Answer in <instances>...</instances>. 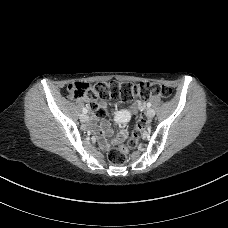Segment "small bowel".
I'll list each match as a JSON object with an SVG mask.
<instances>
[{
    "instance_id": "small-bowel-1",
    "label": "small bowel",
    "mask_w": 228,
    "mask_h": 228,
    "mask_svg": "<svg viewBox=\"0 0 228 228\" xmlns=\"http://www.w3.org/2000/svg\"><path fill=\"white\" fill-rule=\"evenodd\" d=\"M135 106H137L140 110H144V106L140 102H136ZM100 108L102 111V120H101L100 129L97 128L95 122H93L89 126V128L94 132V134L98 138L101 147L106 150L110 147L111 142L123 141L127 136V132L125 130H121L119 133H117L114 136L113 131H112L111 126H110V123L106 119V115H107V104H106V102H102L100 105ZM117 122L119 124H123L125 122L124 117L118 116Z\"/></svg>"
}]
</instances>
